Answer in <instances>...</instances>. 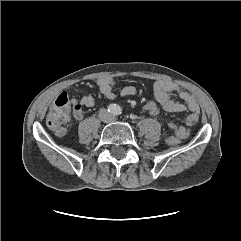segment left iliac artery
Instances as JSON below:
<instances>
[{
  "label": "left iliac artery",
  "instance_id": "1",
  "mask_svg": "<svg viewBox=\"0 0 241 241\" xmlns=\"http://www.w3.org/2000/svg\"><path fill=\"white\" fill-rule=\"evenodd\" d=\"M116 115H120L122 113V109L120 106H116L115 107V112H114Z\"/></svg>",
  "mask_w": 241,
  "mask_h": 241
}]
</instances>
